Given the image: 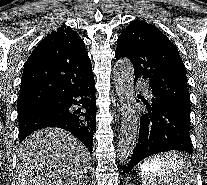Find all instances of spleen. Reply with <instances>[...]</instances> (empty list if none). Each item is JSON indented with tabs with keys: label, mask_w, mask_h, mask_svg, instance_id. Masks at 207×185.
I'll return each instance as SVG.
<instances>
[{
	"label": "spleen",
	"mask_w": 207,
	"mask_h": 185,
	"mask_svg": "<svg viewBox=\"0 0 207 185\" xmlns=\"http://www.w3.org/2000/svg\"><path fill=\"white\" fill-rule=\"evenodd\" d=\"M182 151L153 153V158H143L142 183L147 185H193L198 172L194 171L193 158H180ZM178 158V159H175Z\"/></svg>",
	"instance_id": "spleen-1"
}]
</instances>
